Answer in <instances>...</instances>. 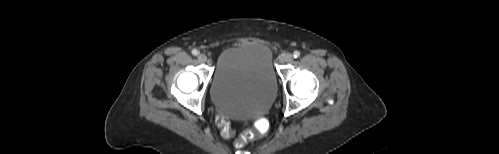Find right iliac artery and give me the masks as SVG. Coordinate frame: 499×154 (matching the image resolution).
<instances>
[{
    "label": "right iliac artery",
    "instance_id": "obj_1",
    "mask_svg": "<svg viewBox=\"0 0 499 154\" xmlns=\"http://www.w3.org/2000/svg\"><path fill=\"white\" fill-rule=\"evenodd\" d=\"M198 53H199V52H198V50H196V49H193V50H192V54H193L194 56H197V55H198Z\"/></svg>",
    "mask_w": 499,
    "mask_h": 154
}]
</instances>
